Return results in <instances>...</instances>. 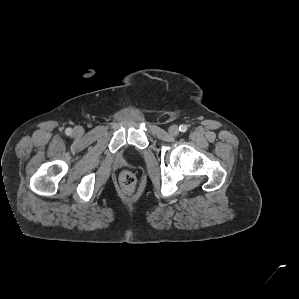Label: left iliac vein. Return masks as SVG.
Instances as JSON below:
<instances>
[{
    "instance_id": "obj_1",
    "label": "left iliac vein",
    "mask_w": 299,
    "mask_h": 299,
    "mask_svg": "<svg viewBox=\"0 0 299 299\" xmlns=\"http://www.w3.org/2000/svg\"><path fill=\"white\" fill-rule=\"evenodd\" d=\"M168 131L171 136H177L179 134V127L177 125H172Z\"/></svg>"
}]
</instances>
